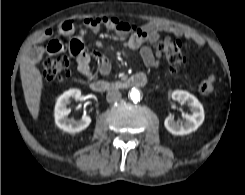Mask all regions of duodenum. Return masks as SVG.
<instances>
[{"instance_id":"410a0bca","label":"duodenum","mask_w":245,"mask_h":195,"mask_svg":"<svg viewBox=\"0 0 245 195\" xmlns=\"http://www.w3.org/2000/svg\"><path fill=\"white\" fill-rule=\"evenodd\" d=\"M147 83V77L144 73H137L129 78L112 83L103 80H95L91 83L90 87L95 92H105L119 89H127L132 87H144Z\"/></svg>"}]
</instances>
